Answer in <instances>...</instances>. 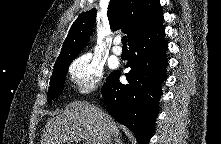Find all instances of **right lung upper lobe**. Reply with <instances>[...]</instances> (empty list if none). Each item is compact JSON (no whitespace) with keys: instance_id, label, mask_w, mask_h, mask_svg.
<instances>
[{"instance_id":"right-lung-upper-lobe-1","label":"right lung upper lobe","mask_w":221,"mask_h":144,"mask_svg":"<svg viewBox=\"0 0 221 144\" xmlns=\"http://www.w3.org/2000/svg\"><path fill=\"white\" fill-rule=\"evenodd\" d=\"M111 29H123L128 44L160 25L163 14L159 0H111L108 6ZM96 21L95 8L81 13L73 23L55 66L72 62L87 44Z\"/></svg>"}]
</instances>
